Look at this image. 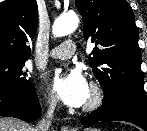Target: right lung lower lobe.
Returning <instances> with one entry per match:
<instances>
[{
	"label": "right lung lower lobe",
	"mask_w": 147,
	"mask_h": 131,
	"mask_svg": "<svg viewBox=\"0 0 147 131\" xmlns=\"http://www.w3.org/2000/svg\"><path fill=\"white\" fill-rule=\"evenodd\" d=\"M39 115L40 104L35 88L29 92L0 90V116L31 122Z\"/></svg>",
	"instance_id": "right-lung-lower-lobe-1"
}]
</instances>
